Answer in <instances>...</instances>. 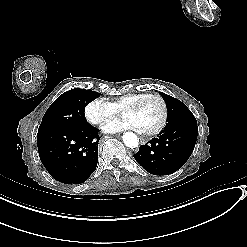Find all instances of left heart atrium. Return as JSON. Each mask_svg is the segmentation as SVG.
Returning a JSON list of instances; mask_svg holds the SVG:
<instances>
[{"instance_id":"39dd6f15","label":"left heart atrium","mask_w":247,"mask_h":247,"mask_svg":"<svg viewBox=\"0 0 247 247\" xmlns=\"http://www.w3.org/2000/svg\"><path fill=\"white\" fill-rule=\"evenodd\" d=\"M105 129L110 132H117L125 129L141 130L138 122L133 117H127L125 119L119 120L118 122L110 124Z\"/></svg>"}]
</instances>
